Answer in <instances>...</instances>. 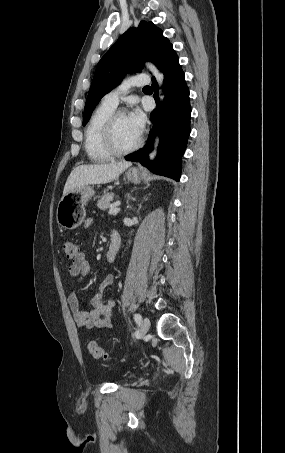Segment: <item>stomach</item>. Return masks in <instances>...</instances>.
Here are the masks:
<instances>
[{
  "mask_svg": "<svg viewBox=\"0 0 285 453\" xmlns=\"http://www.w3.org/2000/svg\"><path fill=\"white\" fill-rule=\"evenodd\" d=\"M140 174V170L137 168H130L125 173L128 181L133 183L140 181ZM94 194L95 191L92 186H85L64 195L58 203L56 212L59 226L68 230L77 228L84 221L86 216L85 206Z\"/></svg>",
  "mask_w": 285,
  "mask_h": 453,
  "instance_id": "stomach-1",
  "label": "stomach"
}]
</instances>
